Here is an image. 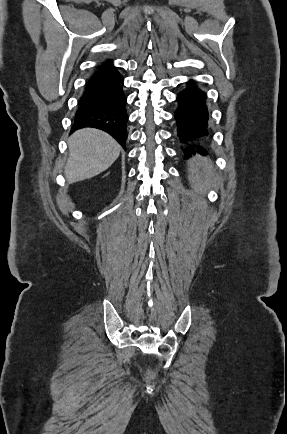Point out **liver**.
<instances>
[{"mask_svg":"<svg viewBox=\"0 0 287 434\" xmlns=\"http://www.w3.org/2000/svg\"><path fill=\"white\" fill-rule=\"evenodd\" d=\"M69 158L65 166L68 183L90 179L107 170L118 158L121 146L107 133L80 129L68 140Z\"/></svg>","mask_w":287,"mask_h":434,"instance_id":"obj_1","label":"liver"}]
</instances>
